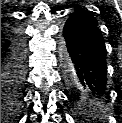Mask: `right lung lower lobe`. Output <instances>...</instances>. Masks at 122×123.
<instances>
[{
  "instance_id": "1",
  "label": "right lung lower lobe",
  "mask_w": 122,
  "mask_h": 123,
  "mask_svg": "<svg viewBox=\"0 0 122 123\" xmlns=\"http://www.w3.org/2000/svg\"><path fill=\"white\" fill-rule=\"evenodd\" d=\"M25 76V44L15 26L1 24V98L17 99Z\"/></svg>"
}]
</instances>
